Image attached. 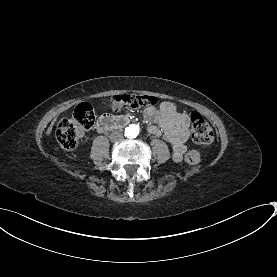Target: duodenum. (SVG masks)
Here are the masks:
<instances>
[{
	"label": "duodenum",
	"instance_id": "duodenum-1",
	"mask_svg": "<svg viewBox=\"0 0 277 277\" xmlns=\"http://www.w3.org/2000/svg\"><path fill=\"white\" fill-rule=\"evenodd\" d=\"M130 122L127 116L104 115L98 119L95 128L98 132L123 128Z\"/></svg>",
	"mask_w": 277,
	"mask_h": 277
}]
</instances>
